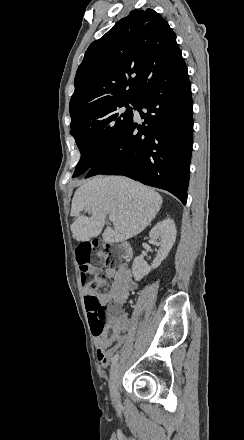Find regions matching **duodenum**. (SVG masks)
<instances>
[{
    "instance_id": "duodenum-1",
    "label": "duodenum",
    "mask_w": 244,
    "mask_h": 440,
    "mask_svg": "<svg viewBox=\"0 0 244 440\" xmlns=\"http://www.w3.org/2000/svg\"><path fill=\"white\" fill-rule=\"evenodd\" d=\"M122 254L125 258H131L132 252L128 243H122Z\"/></svg>"
}]
</instances>
